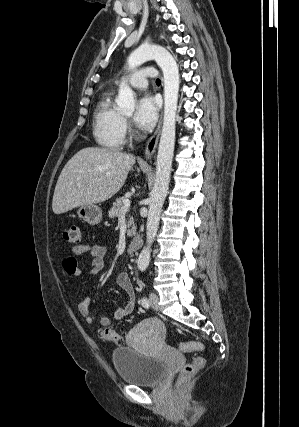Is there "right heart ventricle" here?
I'll use <instances>...</instances> for the list:
<instances>
[{
  "mask_svg": "<svg viewBox=\"0 0 299 427\" xmlns=\"http://www.w3.org/2000/svg\"><path fill=\"white\" fill-rule=\"evenodd\" d=\"M93 135L99 146L107 150H119L125 142L124 118L114 106L113 90L105 91L96 105Z\"/></svg>",
  "mask_w": 299,
  "mask_h": 427,
  "instance_id": "1",
  "label": "right heart ventricle"
}]
</instances>
